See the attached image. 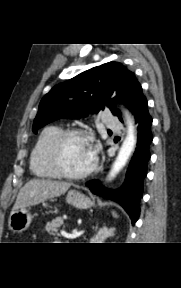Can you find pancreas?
Segmentation results:
<instances>
[{"label": "pancreas", "mask_w": 181, "mask_h": 288, "mask_svg": "<svg viewBox=\"0 0 181 288\" xmlns=\"http://www.w3.org/2000/svg\"><path fill=\"white\" fill-rule=\"evenodd\" d=\"M64 224L62 217H57L46 224L45 230L51 235H58V229Z\"/></svg>", "instance_id": "pancreas-1"}]
</instances>
